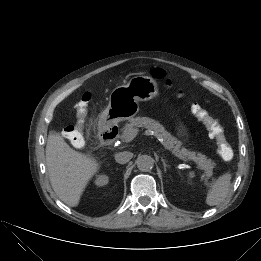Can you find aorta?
Here are the masks:
<instances>
[{"mask_svg": "<svg viewBox=\"0 0 261 261\" xmlns=\"http://www.w3.org/2000/svg\"><path fill=\"white\" fill-rule=\"evenodd\" d=\"M136 165L140 171L148 172L154 166V159L149 155H139L136 159Z\"/></svg>", "mask_w": 261, "mask_h": 261, "instance_id": "obj_1", "label": "aorta"}]
</instances>
